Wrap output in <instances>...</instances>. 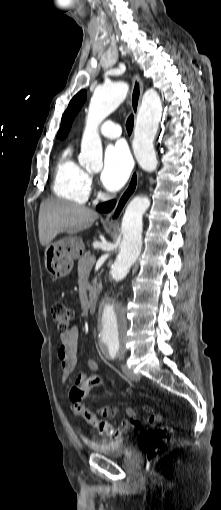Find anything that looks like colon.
Instances as JSON below:
<instances>
[{"instance_id": "1", "label": "colon", "mask_w": 221, "mask_h": 510, "mask_svg": "<svg viewBox=\"0 0 221 510\" xmlns=\"http://www.w3.org/2000/svg\"><path fill=\"white\" fill-rule=\"evenodd\" d=\"M51 315L56 323L57 329L61 333H66L71 329L73 320H74V312L71 308L67 307L62 303H54L51 306ZM102 383L101 378L99 376H93L89 380V385L93 387H97ZM80 394L85 397V391H81ZM84 418L88 423L95 426L99 430L104 429L105 422L102 420L96 413L90 411L85 408ZM116 413L114 408H105L99 411V415L101 417H111ZM160 417L157 414H150L145 422L146 423H156L159 421ZM134 425H140L142 422L140 420L132 419L131 421ZM173 429L170 426H161L152 430L147 436L145 442V450L148 461L156 458L164 449H166L172 439H173Z\"/></svg>"}]
</instances>
